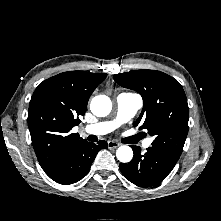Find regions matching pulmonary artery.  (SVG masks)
<instances>
[{
	"label": "pulmonary artery",
	"mask_w": 221,
	"mask_h": 221,
	"mask_svg": "<svg viewBox=\"0 0 221 221\" xmlns=\"http://www.w3.org/2000/svg\"><path fill=\"white\" fill-rule=\"evenodd\" d=\"M117 115L112 121H103L96 124L87 125L84 127V131L88 134L101 136L112 132L118 126L128 122L134 117L137 111L142 106V98L135 93L124 92L117 97ZM151 139L144 142V148H148L151 145Z\"/></svg>",
	"instance_id": "1"
}]
</instances>
